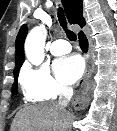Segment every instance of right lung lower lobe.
<instances>
[{
  "label": "right lung lower lobe",
  "mask_w": 117,
  "mask_h": 131,
  "mask_svg": "<svg viewBox=\"0 0 117 131\" xmlns=\"http://www.w3.org/2000/svg\"><path fill=\"white\" fill-rule=\"evenodd\" d=\"M78 37H79V43H80L82 50L86 52L88 48V41L86 39V36L84 35L83 32H80L78 34Z\"/></svg>",
  "instance_id": "1"
}]
</instances>
